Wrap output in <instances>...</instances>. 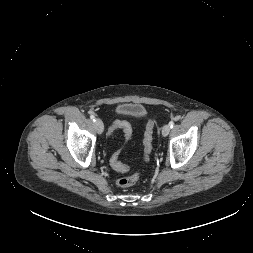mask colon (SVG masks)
I'll return each mask as SVG.
<instances>
[{
  "instance_id": "5ec220e1",
  "label": "colon",
  "mask_w": 253,
  "mask_h": 253,
  "mask_svg": "<svg viewBox=\"0 0 253 253\" xmlns=\"http://www.w3.org/2000/svg\"><path fill=\"white\" fill-rule=\"evenodd\" d=\"M153 127H154V123H153V121L150 120L147 123L146 129L144 132V139H143V145H144L143 160H144V162H147L149 160V157H150V154L152 151ZM115 129H121L124 132L126 140H128L130 138L131 127H130L129 123H127L126 121H117L112 126V130H115ZM111 164L114 167V169H116L117 171H120V172L129 171V169L120 162L119 152H116L112 156ZM139 176H140V173L138 170H132L130 175L118 179L116 183L121 188L130 187V186H133L138 181Z\"/></svg>"
}]
</instances>
